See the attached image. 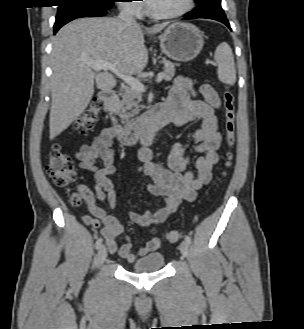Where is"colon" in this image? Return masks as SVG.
<instances>
[{"mask_svg": "<svg viewBox=\"0 0 304 329\" xmlns=\"http://www.w3.org/2000/svg\"><path fill=\"white\" fill-rule=\"evenodd\" d=\"M223 107L225 143L227 148L224 166L228 168L231 165L233 148L236 143L235 98L233 92L228 87L223 91ZM100 110V101L97 99L91 100L77 122V130L79 133L86 134L91 130L100 115ZM47 174L58 187H67L76 178V171L71 158L62 151L59 145L53 146L50 151ZM223 175H226V171L223 172ZM69 201L72 206H79L82 202V197L80 194L74 193L70 196ZM166 238L169 242L175 243L181 240L182 233L179 230H169L166 234Z\"/></svg>", "mask_w": 304, "mask_h": 329, "instance_id": "colon-1", "label": "colon"}]
</instances>
